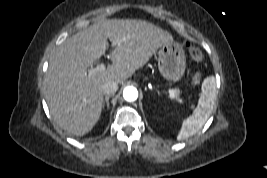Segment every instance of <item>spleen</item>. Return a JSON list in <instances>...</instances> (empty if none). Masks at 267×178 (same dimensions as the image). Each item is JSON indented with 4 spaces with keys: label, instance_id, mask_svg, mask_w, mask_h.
<instances>
[{
    "label": "spleen",
    "instance_id": "3e777b00",
    "mask_svg": "<svg viewBox=\"0 0 267 178\" xmlns=\"http://www.w3.org/2000/svg\"><path fill=\"white\" fill-rule=\"evenodd\" d=\"M216 99V84L214 77L206 78L202 83V93L198 100V105L192 115L186 118L177 135V140L181 141L196 134L210 117Z\"/></svg>",
    "mask_w": 267,
    "mask_h": 178
}]
</instances>
